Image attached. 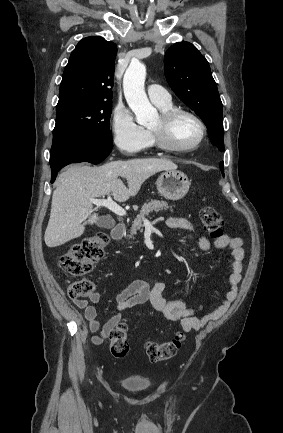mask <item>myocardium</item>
<instances>
[{
  "label": "myocardium",
  "mask_w": 283,
  "mask_h": 433,
  "mask_svg": "<svg viewBox=\"0 0 283 433\" xmlns=\"http://www.w3.org/2000/svg\"><path fill=\"white\" fill-rule=\"evenodd\" d=\"M181 115L192 117L200 127L199 137L190 145L179 147L172 139V130L174 123ZM151 131L157 141L158 149L171 154H184L197 149L207 136V125L204 120L194 111L187 108H172L162 112L158 124Z\"/></svg>",
  "instance_id": "myocardium-1"
}]
</instances>
